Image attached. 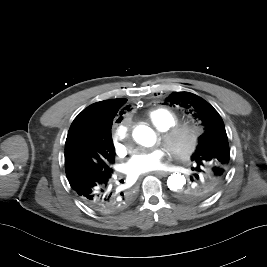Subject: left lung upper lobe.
Here are the masks:
<instances>
[{
	"label": "left lung upper lobe",
	"instance_id": "5c2ea615",
	"mask_svg": "<svg viewBox=\"0 0 267 267\" xmlns=\"http://www.w3.org/2000/svg\"><path fill=\"white\" fill-rule=\"evenodd\" d=\"M170 105L188 109L204 128L191 156L193 178L177 196L186 201L209 197L220 187L230 166V150L225 126L218 112L204 99L190 92H173Z\"/></svg>",
	"mask_w": 267,
	"mask_h": 267
}]
</instances>
